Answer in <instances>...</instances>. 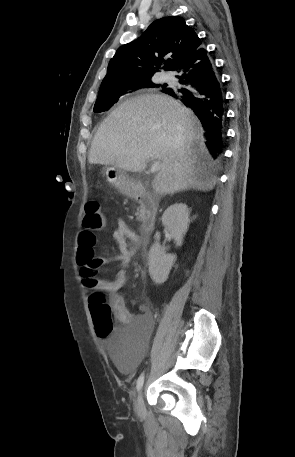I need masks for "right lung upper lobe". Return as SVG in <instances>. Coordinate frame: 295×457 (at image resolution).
Listing matches in <instances>:
<instances>
[{"mask_svg": "<svg viewBox=\"0 0 295 457\" xmlns=\"http://www.w3.org/2000/svg\"><path fill=\"white\" fill-rule=\"evenodd\" d=\"M201 40L182 17H164L151 23L135 41L121 46L108 65L99 91L137 86L159 72L165 55V70H174L179 62L196 51Z\"/></svg>", "mask_w": 295, "mask_h": 457, "instance_id": "1", "label": "right lung upper lobe"}]
</instances>
